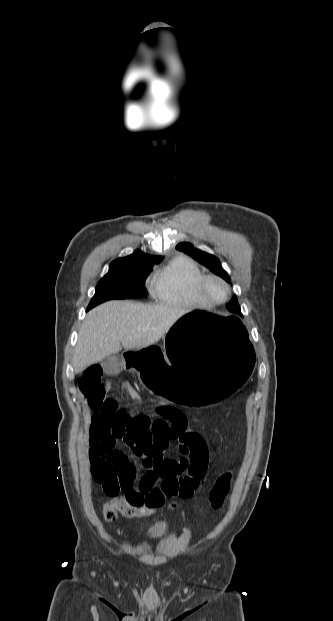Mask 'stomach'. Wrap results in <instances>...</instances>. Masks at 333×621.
<instances>
[{"mask_svg": "<svg viewBox=\"0 0 333 621\" xmlns=\"http://www.w3.org/2000/svg\"><path fill=\"white\" fill-rule=\"evenodd\" d=\"M143 388L179 411L214 410L232 402L254 373V341L234 316L195 310L182 314L164 340L123 354Z\"/></svg>", "mask_w": 333, "mask_h": 621, "instance_id": "1", "label": "stomach"}]
</instances>
